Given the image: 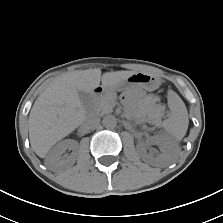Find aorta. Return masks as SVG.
I'll return each instance as SVG.
<instances>
[{
    "label": "aorta",
    "mask_w": 223,
    "mask_h": 223,
    "mask_svg": "<svg viewBox=\"0 0 223 223\" xmlns=\"http://www.w3.org/2000/svg\"><path fill=\"white\" fill-rule=\"evenodd\" d=\"M103 126L106 128H115L117 120L114 115H106L102 120Z\"/></svg>",
    "instance_id": "1"
}]
</instances>
